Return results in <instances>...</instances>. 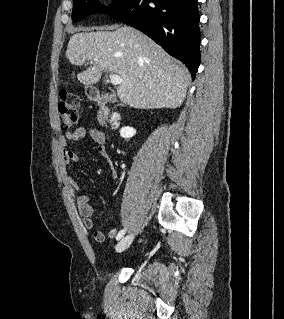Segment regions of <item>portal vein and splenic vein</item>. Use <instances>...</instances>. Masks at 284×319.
Here are the masks:
<instances>
[{"instance_id": "1", "label": "portal vein and splenic vein", "mask_w": 284, "mask_h": 319, "mask_svg": "<svg viewBox=\"0 0 284 319\" xmlns=\"http://www.w3.org/2000/svg\"><path fill=\"white\" fill-rule=\"evenodd\" d=\"M110 82L112 85H119L122 83V78L117 74L110 73Z\"/></svg>"}]
</instances>
